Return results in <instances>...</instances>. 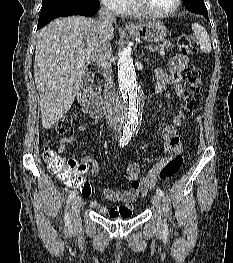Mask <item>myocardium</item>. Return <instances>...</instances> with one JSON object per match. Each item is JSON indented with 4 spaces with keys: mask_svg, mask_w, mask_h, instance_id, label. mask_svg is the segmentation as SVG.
I'll list each match as a JSON object with an SVG mask.
<instances>
[{
    "mask_svg": "<svg viewBox=\"0 0 233 263\" xmlns=\"http://www.w3.org/2000/svg\"><path fill=\"white\" fill-rule=\"evenodd\" d=\"M134 8L137 12H139L141 15H144L146 17L150 18H166L171 15H173L180 7L181 0H175L174 5L171 9L165 12H153L149 10L142 2V0H133Z\"/></svg>",
    "mask_w": 233,
    "mask_h": 263,
    "instance_id": "1",
    "label": "myocardium"
}]
</instances>
